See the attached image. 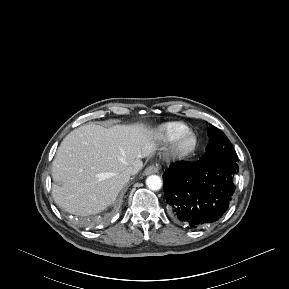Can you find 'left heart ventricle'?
Instances as JSON below:
<instances>
[{"instance_id": "1", "label": "left heart ventricle", "mask_w": 289, "mask_h": 289, "mask_svg": "<svg viewBox=\"0 0 289 289\" xmlns=\"http://www.w3.org/2000/svg\"><path fill=\"white\" fill-rule=\"evenodd\" d=\"M191 144V140L190 139H187L185 142H184V146H189Z\"/></svg>"}]
</instances>
